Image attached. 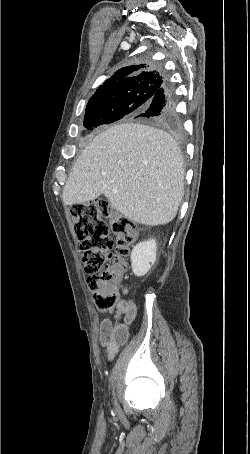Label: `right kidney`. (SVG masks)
Masks as SVG:
<instances>
[{
  "label": "right kidney",
  "instance_id": "ca27d5eb",
  "mask_svg": "<svg viewBox=\"0 0 250 454\" xmlns=\"http://www.w3.org/2000/svg\"><path fill=\"white\" fill-rule=\"evenodd\" d=\"M157 243L149 239L138 243L131 252L132 271L136 276H144L156 261Z\"/></svg>",
  "mask_w": 250,
  "mask_h": 454
}]
</instances>
